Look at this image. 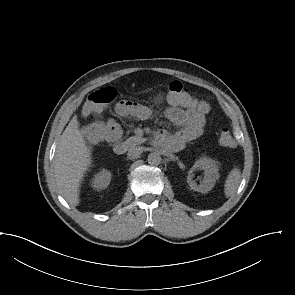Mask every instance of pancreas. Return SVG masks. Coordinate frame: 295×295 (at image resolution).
I'll use <instances>...</instances> for the list:
<instances>
[{
    "label": "pancreas",
    "mask_w": 295,
    "mask_h": 295,
    "mask_svg": "<svg viewBox=\"0 0 295 295\" xmlns=\"http://www.w3.org/2000/svg\"><path fill=\"white\" fill-rule=\"evenodd\" d=\"M145 138L141 137V136H132L130 138H128L125 143L129 146V147H134L136 145H139L143 142H145Z\"/></svg>",
    "instance_id": "obj_1"
}]
</instances>
